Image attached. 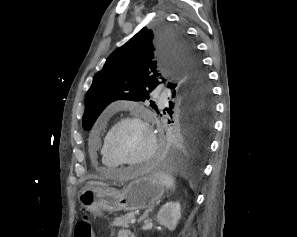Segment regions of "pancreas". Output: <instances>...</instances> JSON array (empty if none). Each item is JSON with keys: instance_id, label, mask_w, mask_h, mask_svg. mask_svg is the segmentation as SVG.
Listing matches in <instances>:
<instances>
[{"instance_id": "obj_1", "label": "pancreas", "mask_w": 297, "mask_h": 237, "mask_svg": "<svg viewBox=\"0 0 297 237\" xmlns=\"http://www.w3.org/2000/svg\"><path fill=\"white\" fill-rule=\"evenodd\" d=\"M134 217L135 214L133 212L127 213L124 216L117 217L112 222V226L127 228L129 226L130 220Z\"/></svg>"}]
</instances>
